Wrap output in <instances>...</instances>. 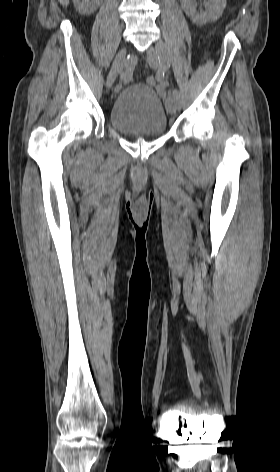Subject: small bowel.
Wrapping results in <instances>:
<instances>
[{
    "mask_svg": "<svg viewBox=\"0 0 280 472\" xmlns=\"http://www.w3.org/2000/svg\"><path fill=\"white\" fill-rule=\"evenodd\" d=\"M165 86L166 84L165 83H162L159 88H158V91H159V94L164 97L166 95V92H165Z\"/></svg>",
    "mask_w": 280,
    "mask_h": 472,
    "instance_id": "1",
    "label": "small bowel"
}]
</instances>
